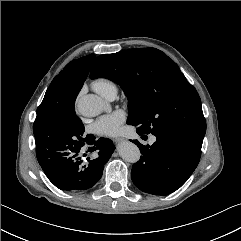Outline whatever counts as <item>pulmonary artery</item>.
Instances as JSON below:
<instances>
[{
  "label": "pulmonary artery",
  "mask_w": 241,
  "mask_h": 241,
  "mask_svg": "<svg viewBox=\"0 0 241 241\" xmlns=\"http://www.w3.org/2000/svg\"><path fill=\"white\" fill-rule=\"evenodd\" d=\"M116 93H117L116 91H112L106 98L109 99V100H113L116 97ZM155 141H156L155 137H152L151 140H150L151 143H153Z\"/></svg>",
  "instance_id": "pulmonary-artery-1"
}]
</instances>
